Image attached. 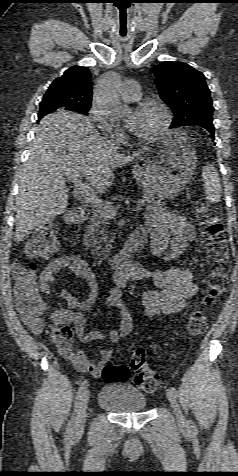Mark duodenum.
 I'll return each mask as SVG.
<instances>
[{
    "label": "duodenum",
    "instance_id": "410a0bca",
    "mask_svg": "<svg viewBox=\"0 0 238 476\" xmlns=\"http://www.w3.org/2000/svg\"><path fill=\"white\" fill-rule=\"evenodd\" d=\"M90 216V211L88 209H79L68 216V221L70 223H82L86 221ZM145 241V233L143 231H136L132 233L127 239L124 247L121 251L113 255L108 259V265L114 273L119 272H131L136 270L135 262L132 258L134 254L139 251Z\"/></svg>",
    "mask_w": 238,
    "mask_h": 476
}]
</instances>
